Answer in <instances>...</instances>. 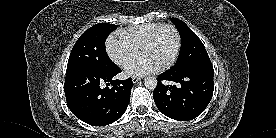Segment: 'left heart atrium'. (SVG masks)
<instances>
[{"label": "left heart atrium", "instance_id": "left-heart-atrium-1", "mask_svg": "<svg viewBox=\"0 0 276 138\" xmlns=\"http://www.w3.org/2000/svg\"><path fill=\"white\" fill-rule=\"evenodd\" d=\"M161 65L150 56H142L132 60L126 66V73L131 76H143L157 72Z\"/></svg>", "mask_w": 276, "mask_h": 138}]
</instances>
